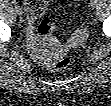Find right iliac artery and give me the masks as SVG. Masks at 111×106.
<instances>
[{
    "label": "right iliac artery",
    "instance_id": "1",
    "mask_svg": "<svg viewBox=\"0 0 111 106\" xmlns=\"http://www.w3.org/2000/svg\"><path fill=\"white\" fill-rule=\"evenodd\" d=\"M12 4L15 5V7L18 6V5H17V2H16L15 0L12 1Z\"/></svg>",
    "mask_w": 111,
    "mask_h": 106
}]
</instances>
